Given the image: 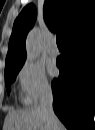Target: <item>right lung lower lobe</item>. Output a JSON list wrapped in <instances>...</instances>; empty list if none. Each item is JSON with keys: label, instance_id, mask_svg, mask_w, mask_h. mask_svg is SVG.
<instances>
[{"label": "right lung lower lobe", "instance_id": "right-lung-lower-lobe-1", "mask_svg": "<svg viewBox=\"0 0 95 130\" xmlns=\"http://www.w3.org/2000/svg\"><path fill=\"white\" fill-rule=\"evenodd\" d=\"M57 59L60 76L52 82L53 108L69 130L93 127L95 26L64 42Z\"/></svg>", "mask_w": 95, "mask_h": 130}]
</instances>
